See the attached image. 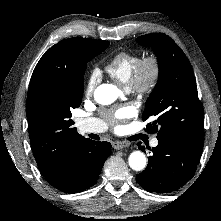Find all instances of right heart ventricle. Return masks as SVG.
<instances>
[{"label":"right heart ventricle","instance_id":"1","mask_svg":"<svg viewBox=\"0 0 221 221\" xmlns=\"http://www.w3.org/2000/svg\"><path fill=\"white\" fill-rule=\"evenodd\" d=\"M141 61V55L136 52L121 51L111 57L105 65L109 76L128 87L130 79Z\"/></svg>","mask_w":221,"mask_h":221}]
</instances>
